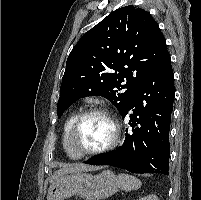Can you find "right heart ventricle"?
<instances>
[{
  "instance_id": "e07e8e85",
  "label": "right heart ventricle",
  "mask_w": 201,
  "mask_h": 200,
  "mask_svg": "<svg viewBox=\"0 0 201 200\" xmlns=\"http://www.w3.org/2000/svg\"><path fill=\"white\" fill-rule=\"evenodd\" d=\"M76 117H77V113L70 115L69 118L66 120L64 127H63V131H62V147H63V150L66 153V155L70 158H73V157L71 156V154L68 150V147H67V133Z\"/></svg>"
}]
</instances>
